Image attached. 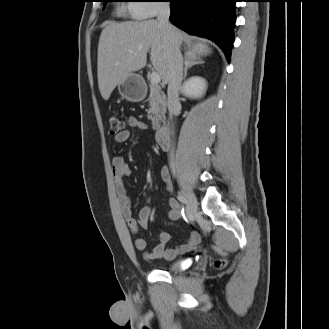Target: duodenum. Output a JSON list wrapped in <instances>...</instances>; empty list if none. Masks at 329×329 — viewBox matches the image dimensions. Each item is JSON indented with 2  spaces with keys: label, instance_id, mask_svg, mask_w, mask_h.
<instances>
[{
  "label": "duodenum",
  "instance_id": "obj_1",
  "mask_svg": "<svg viewBox=\"0 0 329 329\" xmlns=\"http://www.w3.org/2000/svg\"><path fill=\"white\" fill-rule=\"evenodd\" d=\"M156 139L162 149L171 147V133L166 123H161L156 131Z\"/></svg>",
  "mask_w": 329,
  "mask_h": 329
}]
</instances>
